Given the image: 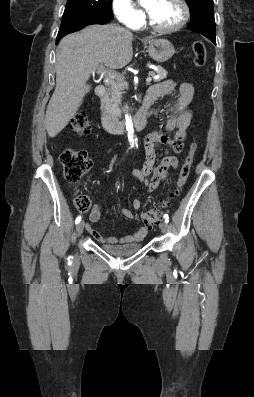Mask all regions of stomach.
Instances as JSON below:
<instances>
[{"label": "stomach", "instance_id": "obj_1", "mask_svg": "<svg viewBox=\"0 0 254 397\" xmlns=\"http://www.w3.org/2000/svg\"><path fill=\"white\" fill-rule=\"evenodd\" d=\"M147 49L149 55L159 63L167 61L175 53L172 43L164 38L149 40Z\"/></svg>", "mask_w": 254, "mask_h": 397}]
</instances>
